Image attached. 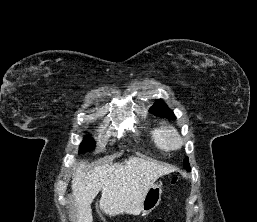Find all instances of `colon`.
Masks as SVG:
<instances>
[{
    "mask_svg": "<svg viewBox=\"0 0 257 222\" xmlns=\"http://www.w3.org/2000/svg\"><path fill=\"white\" fill-rule=\"evenodd\" d=\"M176 180H177V178L173 177L172 180H171V183L172 184L176 183ZM154 222H166V221L162 218H159V219H156Z\"/></svg>",
    "mask_w": 257,
    "mask_h": 222,
    "instance_id": "1",
    "label": "colon"
}]
</instances>
